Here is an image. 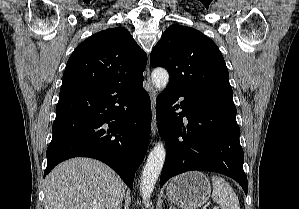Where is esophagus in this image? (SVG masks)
<instances>
[{
    "mask_svg": "<svg viewBox=\"0 0 299 209\" xmlns=\"http://www.w3.org/2000/svg\"><path fill=\"white\" fill-rule=\"evenodd\" d=\"M149 68H147V81L149 84V96L151 99V106H152V122H151V130L153 135L155 134L157 130V120H156V98H157V93L155 89L153 88L151 81H150V76H149Z\"/></svg>",
    "mask_w": 299,
    "mask_h": 209,
    "instance_id": "obj_1",
    "label": "esophagus"
}]
</instances>
